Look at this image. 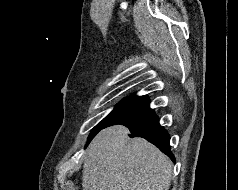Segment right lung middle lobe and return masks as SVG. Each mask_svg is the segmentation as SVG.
<instances>
[{"mask_svg": "<svg viewBox=\"0 0 238 190\" xmlns=\"http://www.w3.org/2000/svg\"><path fill=\"white\" fill-rule=\"evenodd\" d=\"M149 110H151V108L148 102L133 98H125L115 106L109 115L92 129L87 143H89L100 130L137 118Z\"/></svg>", "mask_w": 238, "mask_h": 190, "instance_id": "dd1d6c3e", "label": "right lung middle lobe"}]
</instances>
